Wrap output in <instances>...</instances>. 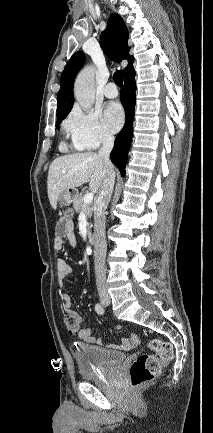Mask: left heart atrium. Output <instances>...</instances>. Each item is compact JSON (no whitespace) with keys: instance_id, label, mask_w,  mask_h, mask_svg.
Returning a JSON list of instances; mask_svg holds the SVG:
<instances>
[{"instance_id":"obj_1","label":"left heart atrium","mask_w":213,"mask_h":433,"mask_svg":"<svg viewBox=\"0 0 213 433\" xmlns=\"http://www.w3.org/2000/svg\"><path fill=\"white\" fill-rule=\"evenodd\" d=\"M103 120L108 129L118 131L124 123V112L117 102L109 103L104 111Z\"/></svg>"}]
</instances>
